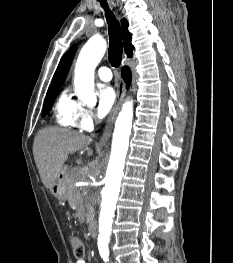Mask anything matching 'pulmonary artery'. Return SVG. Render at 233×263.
<instances>
[{"mask_svg":"<svg viewBox=\"0 0 233 263\" xmlns=\"http://www.w3.org/2000/svg\"><path fill=\"white\" fill-rule=\"evenodd\" d=\"M98 77L105 82H108L112 79V71L106 66H102L97 71Z\"/></svg>","mask_w":233,"mask_h":263,"instance_id":"pulmonary-artery-1","label":"pulmonary artery"}]
</instances>
